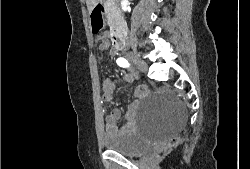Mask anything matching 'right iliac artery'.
Returning <instances> with one entry per match:
<instances>
[{"instance_id":"right-iliac-artery-1","label":"right iliac artery","mask_w":250,"mask_h":169,"mask_svg":"<svg viewBox=\"0 0 250 169\" xmlns=\"http://www.w3.org/2000/svg\"><path fill=\"white\" fill-rule=\"evenodd\" d=\"M117 64L120 66V67H129L130 66V64L128 63V61L126 60V59H124V58H118L117 59Z\"/></svg>"}]
</instances>
